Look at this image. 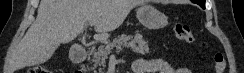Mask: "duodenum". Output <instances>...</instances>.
<instances>
[{
    "instance_id": "410a0bca",
    "label": "duodenum",
    "mask_w": 244,
    "mask_h": 73,
    "mask_svg": "<svg viewBox=\"0 0 244 73\" xmlns=\"http://www.w3.org/2000/svg\"><path fill=\"white\" fill-rule=\"evenodd\" d=\"M90 53V49L85 44L75 45L70 52V60L74 64L82 63Z\"/></svg>"
}]
</instances>
